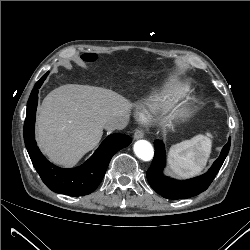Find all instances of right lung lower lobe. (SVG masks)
Returning a JSON list of instances; mask_svg holds the SVG:
<instances>
[{"label": "right lung lower lobe", "instance_id": "1", "mask_svg": "<svg viewBox=\"0 0 250 250\" xmlns=\"http://www.w3.org/2000/svg\"><path fill=\"white\" fill-rule=\"evenodd\" d=\"M49 72L35 84L27 103L24 123V141L33 166L47 187L60 194L83 196L93 192L102 181L113 155L127 147L132 139L123 134L109 135L96 152L81 166L63 169L50 163L40 152L35 141V116L38 102V89Z\"/></svg>", "mask_w": 250, "mask_h": 250}]
</instances>
